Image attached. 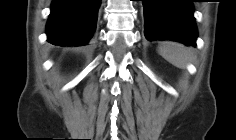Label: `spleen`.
I'll use <instances>...</instances> for the list:
<instances>
[{"label": "spleen", "mask_w": 236, "mask_h": 140, "mask_svg": "<svg viewBox=\"0 0 236 140\" xmlns=\"http://www.w3.org/2000/svg\"><path fill=\"white\" fill-rule=\"evenodd\" d=\"M158 51L164 59L182 69L186 68L193 59L191 50L180 43L164 42L160 45Z\"/></svg>", "instance_id": "1"}]
</instances>
